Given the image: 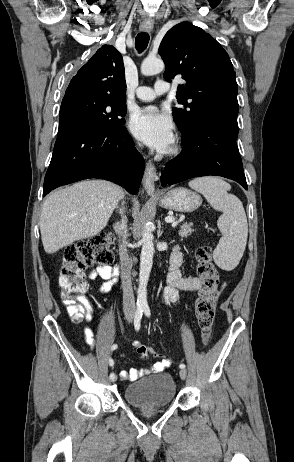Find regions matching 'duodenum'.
<instances>
[{
	"instance_id": "obj_1",
	"label": "duodenum",
	"mask_w": 294,
	"mask_h": 462,
	"mask_svg": "<svg viewBox=\"0 0 294 462\" xmlns=\"http://www.w3.org/2000/svg\"><path fill=\"white\" fill-rule=\"evenodd\" d=\"M119 255H120L121 261L125 262L127 255H128L127 248L125 246H121Z\"/></svg>"
}]
</instances>
